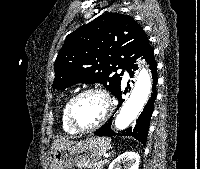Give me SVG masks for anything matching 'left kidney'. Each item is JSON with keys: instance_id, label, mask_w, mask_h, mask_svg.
I'll return each instance as SVG.
<instances>
[{"instance_id": "left-kidney-1", "label": "left kidney", "mask_w": 200, "mask_h": 169, "mask_svg": "<svg viewBox=\"0 0 200 169\" xmlns=\"http://www.w3.org/2000/svg\"><path fill=\"white\" fill-rule=\"evenodd\" d=\"M140 156L138 153L130 151L124 152L114 159L108 169H121V165H125L127 169H138Z\"/></svg>"}]
</instances>
